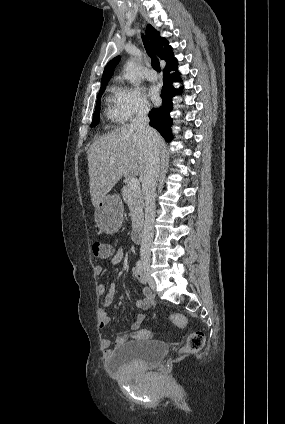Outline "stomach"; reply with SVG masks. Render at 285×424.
<instances>
[{
    "label": "stomach",
    "mask_w": 285,
    "mask_h": 424,
    "mask_svg": "<svg viewBox=\"0 0 285 424\" xmlns=\"http://www.w3.org/2000/svg\"><path fill=\"white\" fill-rule=\"evenodd\" d=\"M94 218L99 229L106 233H114L121 226L123 204L119 196L106 195L95 207Z\"/></svg>",
    "instance_id": "obj_1"
}]
</instances>
